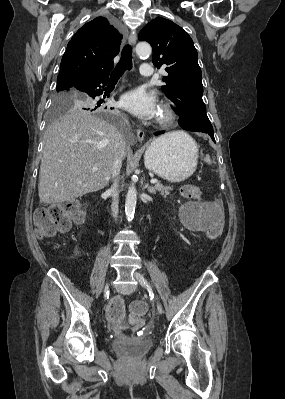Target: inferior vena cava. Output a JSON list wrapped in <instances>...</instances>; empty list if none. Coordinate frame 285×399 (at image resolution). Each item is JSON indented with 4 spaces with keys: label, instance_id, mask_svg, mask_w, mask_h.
<instances>
[{
    "label": "inferior vena cava",
    "instance_id": "602c4592",
    "mask_svg": "<svg viewBox=\"0 0 285 399\" xmlns=\"http://www.w3.org/2000/svg\"><path fill=\"white\" fill-rule=\"evenodd\" d=\"M120 145L121 149L119 150L118 155L116 156V159L113 164V169H112V177H113V185L110 189V192L112 193L113 196V201L111 204V209H112V214L113 217L116 219L119 209H118V175L120 173V169L122 166V159L124 157V149H125V141L122 139L120 140Z\"/></svg>",
    "mask_w": 285,
    "mask_h": 399
}]
</instances>
